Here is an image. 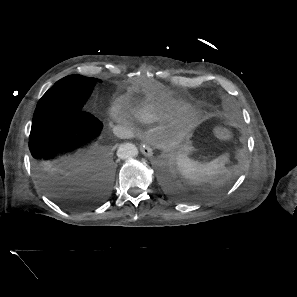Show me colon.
<instances>
[{"label": "colon", "mask_w": 297, "mask_h": 297, "mask_svg": "<svg viewBox=\"0 0 297 297\" xmlns=\"http://www.w3.org/2000/svg\"><path fill=\"white\" fill-rule=\"evenodd\" d=\"M218 135L221 136V137H225V135H226V130H225V128H220V129L218 130Z\"/></svg>", "instance_id": "1"}]
</instances>
